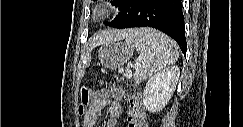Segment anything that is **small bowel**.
I'll list each match as a JSON object with an SVG mask.
<instances>
[{"instance_id":"c3829d8e","label":"small bowel","mask_w":243,"mask_h":127,"mask_svg":"<svg viewBox=\"0 0 243 127\" xmlns=\"http://www.w3.org/2000/svg\"><path fill=\"white\" fill-rule=\"evenodd\" d=\"M107 110V118L105 122L106 127H116L118 119L122 113V107L119 101L111 100L108 97L101 101L93 102L84 116L83 126L94 127L99 114Z\"/></svg>"}]
</instances>
